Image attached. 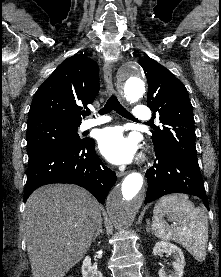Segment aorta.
Segmentation results:
<instances>
[{"label":"aorta","mask_w":221,"mask_h":277,"mask_svg":"<svg viewBox=\"0 0 221 277\" xmlns=\"http://www.w3.org/2000/svg\"><path fill=\"white\" fill-rule=\"evenodd\" d=\"M119 84L123 95L131 103L137 102L145 93V77L138 65H126L119 72ZM143 176L128 174L121 184L108 195L106 209L113 225L121 232L127 231L144 200Z\"/></svg>","instance_id":"aorta-1"}]
</instances>
